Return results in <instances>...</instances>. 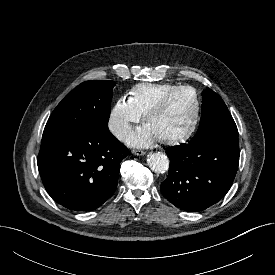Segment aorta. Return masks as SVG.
Returning <instances> with one entry per match:
<instances>
[{"mask_svg": "<svg viewBox=\"0 0 275 275\" xmlns=\"http://www.w3.org/2000/svg\"><path fill=\"white\" fill-rule=\"evenodd\" d=\"M147 164L152 171L164 173L169 168V159L161 152L150 153L147 157Z\"/></svg>", "mask_w": 275, "mask_h": 275, "instance_id": "obj_1", "label": "aorta"}]
</instances>
